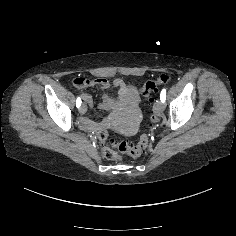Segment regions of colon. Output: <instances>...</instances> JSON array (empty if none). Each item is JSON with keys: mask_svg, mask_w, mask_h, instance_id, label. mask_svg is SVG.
<instances>
[{"mask_svg": "<svg viewBox=\"0 0 236 236\" xmlns=\"http://www.w3.org/2000/svg\"><path fill=\"white\" fill-rule=\"evenodd\" d=\"M170 79H171L170 75L162 74L157 79L147 81L142 88L141 91L142 96L150 103L152 93L156 92L162 84L169 82ZM73 83L75 86L79 88H84L93 83L106 84L107 80L105 79L90 80L85 77H76L73 80ZM155 122H156V116L152 115L150 119L151 126ZM98 136L103 145L104 156L109 160H117L119 158V155L114 149H117L121 153L128 154L133 157H138L146 151L150 141V136L147 133H143L140 136L139 141L135 144L130 143L128 141L111 142L109 140L108 133L105 130H101Z\"/></svg>", "mask_w": 236, "mask_h": 236, "instance_id": "1", "label": "colon"}]
</instances>
